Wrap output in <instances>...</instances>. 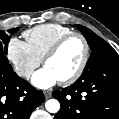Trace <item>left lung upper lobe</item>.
<instances>
[{
  "label": "left lung upper lobe",
  "instance_id": "5c2ea615",
  "mask_svg": "<svg viewBox=\"0 0 119 119\" xmlns=\"http://www.w3.org/2000/svg\"><path fill=\"white\" fill-rule=\"evenodd\" d=\"M76 27L82 32L92 50L89 61L87 62L82 74L86 73L95 65L114 57H119L117 52L106 41H104L90 29L82 25H76Z\"/></svg>",
  "mask_w": 119,
  "mask_h": 119
}]
</instances>
